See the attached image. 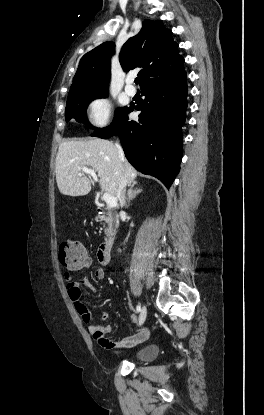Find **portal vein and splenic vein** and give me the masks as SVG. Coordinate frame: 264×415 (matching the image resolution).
Wrapping results in <instances>:
<instances>
[{
    "mask_svg": "<svg viewBox=\"0 0 264 415\" xmlns=\"http://www.w3.org/2000/svg\"><path fill=\"white\" fill-rule=\"evenodd\" d=\"M83 173L90 175L95 182H98V178L94 170L87 168V167H83L80 170L78 175H82ZM103 200L106 202L107 206L110 208H114L117 206V198L108 193L103 194Z\"/></svg>",
    "mask_w": 264,
    "mask_h": 415,
    "instance_id": "portal-vein-and-splenic-vein-1",
    "label": "portal vein and splenic vein"
}]
</instances>
